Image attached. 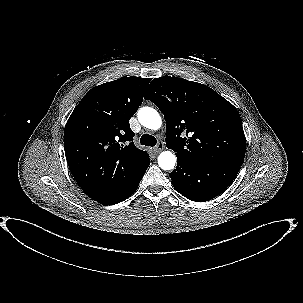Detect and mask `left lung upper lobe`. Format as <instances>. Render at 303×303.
<instances>
[{"instance_id":"obj_1","label":"left lung upper lobe","mask_w":303,"mask_h":303,"mask_svg":"<svg viewBox=\"0 0 303 303\" xmlns=\"http://www.w3.org/2000/svg\"><path fill=\"white\" fill-rule=\"evenodd\" d=\"M146 99L164 114L166 146L192 162L241 166L246 138L237 109L210 87L164 76L149 85Z\"/></svg>"}]
</instances>
